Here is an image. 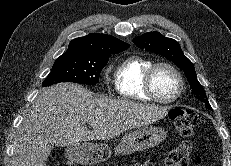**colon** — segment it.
<instances>
[{"label": "colon", "mask_w": 231, "mask_h": 166, "mask_svg": "<svg viewBox=\"0 0 231 166\" xmlns=\"http://www.w3.org/2000/svg\"><path fill=\"white\" fill-rule=\"evenodd\" d=\"M169 116L176 130L184 140L167 155L165 166H189L191 149L190 139L193 137L198 126V115L191 110L173 108L169 111ZM198 163H202L201 159H198ZM135 166H159V162L154 159H148L137 163Z\"/></svg>", "instance_id": "obj_1"}]
</instances>
